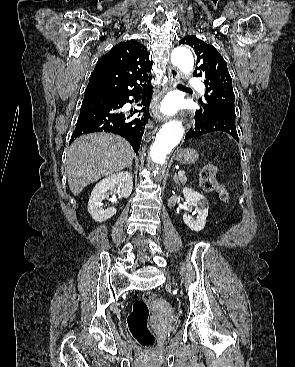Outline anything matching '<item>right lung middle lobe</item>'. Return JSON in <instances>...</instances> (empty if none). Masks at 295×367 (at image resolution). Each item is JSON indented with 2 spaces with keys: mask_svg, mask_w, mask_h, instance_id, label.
Returning a JSON list of instances; mask_svg holds the SVG:
<instances>
[{
  "mask_svg": "<svg viewBox=\"0 0 295 367\" xmlns=\"http://www.w3.org/2000/svg\"><path fill=\"white\" fill-rule=\"evenodd\" d=\"M113 94L108 93L99 89H86L84 97H93V96H111Z\"/></svg>",
  "mask_w": 295,
  "mask_h": 367,
  "instance_id": "obj_1",
  "label": "right lung middle lobe"
}]
</instances>
